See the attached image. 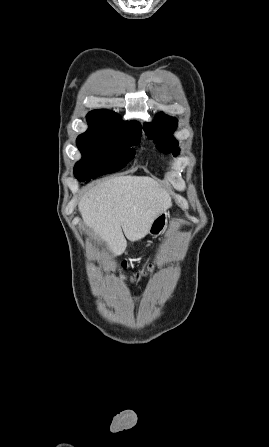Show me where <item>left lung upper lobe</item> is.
<instances>
[{"label": "left lung upper lobe", "mask_w": 269, "mask_h": 447, "mask_svg": "<svg viewBox=\"0 0 269 447\" xmlns=\"http://www.w3.org/2000/svg\"><path fill=\"white\" fill-rule=\"evenodd\" d=\"M176 127L177 119L169 117L163 113H159L156 116L155 122L145 123L143 125L147 135L154 139V142L157 144L158 148L165 153L173 151L178 146V142L172 136V133ZM178 153L179 149H176L173 155L176 156Z\"/></svg>", "instance_id": "1"}]
</instances>
